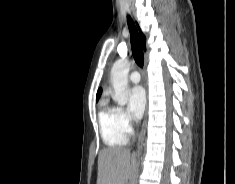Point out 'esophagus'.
<instances>
[{"label": "esophagus", "instance_id": "esophagus-1", "mask_svg": "<svg viewBox=\"0 0 235 184\" xmlns=\"http://www.w3.org/2000/svg\"><path fill=\"white\" fill-rule=\"evenodd\" d=\"M147 117H148V90L146 89V106H145V111H144V119L142 123L141 133L137 141V148H136L137 154H140L143 149V142H144V137L146 134Z\"/></svg>", "mask_w": 235, "mask_h": 184}]
</instances>
